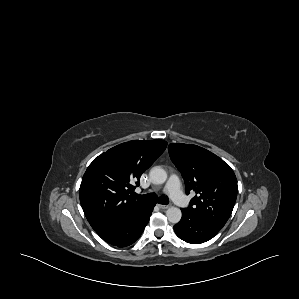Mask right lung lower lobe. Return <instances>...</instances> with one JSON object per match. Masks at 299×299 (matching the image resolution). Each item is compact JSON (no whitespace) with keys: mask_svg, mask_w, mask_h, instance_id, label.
I'll return each mask as SVG.
<instances>
[{"mask_svg":"<svg viewBox=\"0 0 299 299\" xmlns=\"http://www.w3.org/2000/svg\"><path fill=\"white\" fill-rule=\"evenodd\" d=\"M153 207V204H149L141 211L131 214L117 222L101 226L95 229V231L103 240L114 246L125 247L131 245L144 231L150 219Z\"/></svg>","mask_w":299,"mask_h":299,"instance_id":"98d812e1","label":"right lung lower lobe"}]
</instances>
